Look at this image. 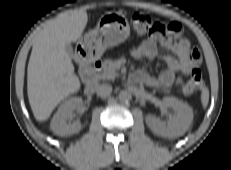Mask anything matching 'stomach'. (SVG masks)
Here are the masks:
<instances>
[{
	"instance_id": "obj_1",
	"label": "stomach",
	"mask_w": 231,
	"mask_h": 170,
	"mask_svg": "<svg viewBox=\"0 0 231 170\" xmlns=\"http://www.w3.org/2000/svg\"><path fill=\"white\" fill-rule=\"evenodd\" d=\"M130 33L128 20L118 13H106L100 17L97 26L87 32L81 46L100 56L109 48L124 42Z\"/></svg>"
}]
</instances>
